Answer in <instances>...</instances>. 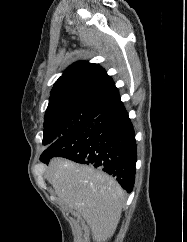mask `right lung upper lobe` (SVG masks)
I'll return each instance as SVG.
<instances>
[{
  "label": "right lung upper lobe",
  "mask_w": 187,
  "mask_h": 242,
  "mask_svg": "<svg viewBox=\"0 0 187 242\" xmlns=\"http://www.w3.org/2000/svg\"><path fill=\"white\" fill-rule=\"evenodd\" d=\"M118 100V89L101 66L78 61L69 66L55 82L47 110L71 104L106 108Z\"/></svg>",
  "instance_id": "1"
}]
</instances>
